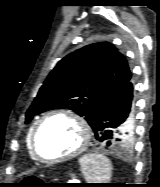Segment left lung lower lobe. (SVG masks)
Wrapping results in <instances>:
<instances>
[{"label": "left lung lower lobe", "instance_id": "1", "mask_svg": "<svg viewBox=\"0 0 160 187\" xmlns=\"http://www.w3.org/2000/svg\"><path fill=\"white\" fill-rule=\"evenodd\" d=\"M130 79L102 104L92 129L95 139L104 148H124L123 144L134 125L133 84ZM127 124L124 131L119 128Z\"/></svg>", "mask_w": 160, "mask_h": 187}]
</instances>
